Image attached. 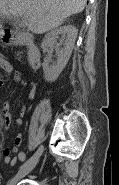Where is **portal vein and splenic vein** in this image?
Returning <instances> with one entry per match:
<instances>
[{"label": "portal vein and splenic vein", "instance_id": "obj_1", "mask_svg": "<svg viewBox=\"0 0 119 185\" xmlns=\"http://www.w3.org/2000/svg\"><path fill=\"white\" fill-rule=\"evenodd\" d=\"M26 25H28L27 21L24 19L20 22L19 26L20 27H25Z\"/></svg>", "mask_w": 119, "mask_h": 185}]
</instances>
